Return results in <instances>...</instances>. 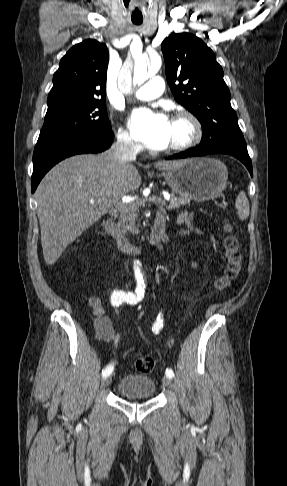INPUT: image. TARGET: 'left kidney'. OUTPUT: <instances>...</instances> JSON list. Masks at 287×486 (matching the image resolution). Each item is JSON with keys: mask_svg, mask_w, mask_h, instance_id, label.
Masks as SVG:
<instances>
[{"mask_svg": "<svg viewBox=\"0 0 287 486\" xmlns=\"http://www.w3.org/2000/svg\"><path fill=\"white\" fill-rule=\"evenodd\" d=\"M192 266H195V267H196V264H193V263H192Z\"/></svg>", "mask_w": 287, "mask_h": 486, "instance_id": "left-kidney-1", "label": "left kidney"}]
</instances>
